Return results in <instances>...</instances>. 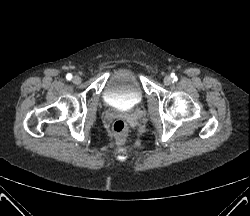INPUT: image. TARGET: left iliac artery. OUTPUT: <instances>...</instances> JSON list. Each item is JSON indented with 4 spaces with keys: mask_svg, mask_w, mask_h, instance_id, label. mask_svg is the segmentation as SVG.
Instances as JSON below:
<instances>
[{
    "mask_svg": "<svg viewBox=\"0 0 250 216\" xmlns=\"http://www.w3.org/2000/svg\"><path fill=\"white\" fill-rule=\"evenodd\" d=\"M172 77H174V80H176V79H177V78H176V76H175L174 74L172 75Z\"/></svg>",
    "mask_w": 250,
    "mask_h": 216,
    "instance_id": "1",
    "label": "left iliac artery"
}]
</instances>
